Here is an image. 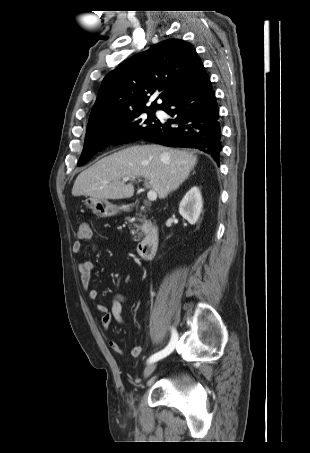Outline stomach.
<instances>
[{"mask_svg":"<svg viewBox=\"0 0 310 453\" xmlns=\"http://www.w3.org/2000/svg\"><path fill=\"white\" fill-rule=\"evenodd\" d=\"M85 204L96 216L101 218L114 216L123 209V207L113 205L105 199L94 197H87Z\"/></svg>","mask_w":310,"mask_h":453,"instance_id":"stomach-1","label":"stomach"}]
</instances>
